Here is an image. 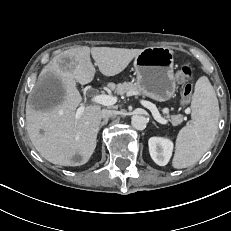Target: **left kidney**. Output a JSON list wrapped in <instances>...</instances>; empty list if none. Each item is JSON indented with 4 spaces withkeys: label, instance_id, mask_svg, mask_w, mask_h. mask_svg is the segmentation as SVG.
Listing matches in <instances>:
<instances>
[{
    "label": "left kidney",
    "instance_id": "obj_1",
    "mask_svg": "<svg viewBox=\"0 0 231 231\" xmlns=\"http://www.w3.org/2000/svg\"><path fill=\"white\" fill-rule=\"evenodd\" d=\"M148 145L149 153L153 161L160 166H165L171 158L173 142L166 138L151 137Z\"/></svg>",
    "mask_w": 231,
    "mask_h": 231
}]
</instances>
